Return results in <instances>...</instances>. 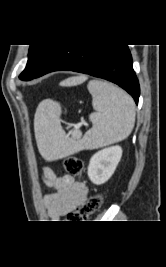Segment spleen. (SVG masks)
Segmentation results:
<instances>
[{"mask_svg": "<svg viewBox=\"0 0 166 267\" xmlns=\"http://www.w3.org/2000/svg\"><path fill=\"white\" fill-rule=\"evenodd\" d=\"M88 90L96 112L90 115L93 127L83 138L75 141L62 129L59 121V108L51 103L46 112H38L35 121V136L42 156L56 160L81 150L97 149L126 139L135 123L133 99L115 85L91 80Z\"/></svg>", "mask_w": 166, "mask_h": 267, "instance_id": "spleen-1", "label": "spleen"}]
</instances>
